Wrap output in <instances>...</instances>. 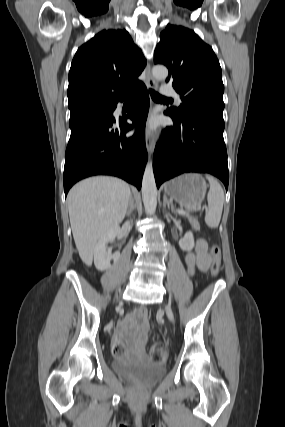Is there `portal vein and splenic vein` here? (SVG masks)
<instances>
[{"label": "portal vein and splenic vein", "instance_id": "obj_1", "mask_svg": "<svg viewBox=\"0 0 285 427\" xmlns=\"http://www.w3.org/2000/svg\"><path fill=\"white\" fill-rule=\"evenodd\" d=\"M176 212H177L178 214H181V215L188 214V212H186V211H184V210H177Z\"/></svg>", "mask_w": 285, "mask_h": 427}]
</instances>
